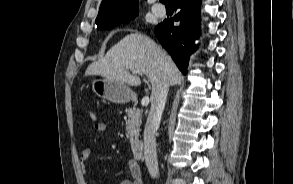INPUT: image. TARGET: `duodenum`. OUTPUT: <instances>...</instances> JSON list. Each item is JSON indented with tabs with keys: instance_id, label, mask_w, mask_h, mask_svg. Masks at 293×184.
I'll list each match as a JSON object with an SVG mask.
<instances>
[{
	"instance_id": "duodenum-1",
	"label": "duodenum",
	"mask_w": 293,
	"mask_h": 184,
	"mask_svg": "<svg viewBox=\"0 0 293 184\" xmlns=\"http://www.w3.org/2000/svg\"><path fill=\"white\" fill-rule=\"evenodd\" d=\"M143 148H144V144H143V141L141 139H134L131 142L132 155L136 160H138V159H140L142 157Z\"/></svg>"
}]
</instances>
